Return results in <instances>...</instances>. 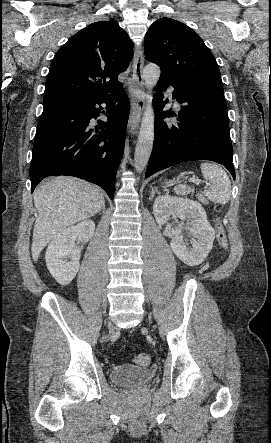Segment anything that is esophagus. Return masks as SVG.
<instances>
[{
  "instance_id": "1",
  "label": "esophagus",
  "mask_w": 271,
  "mask_h": 443,
  "mask_svg": "<svg viewBox=\"0 0 271 443\" xmlns=\"http://www.w3.org/2000/svg\"><path fill=\"white\" fill-rule=\"evenodd\" d=\"M144 55L142 46L138 47L133 60V78L135 87L132 91V105L128 120V130L133 132L139 126L141 115L145 108L144 78H143Z\"/></svg>"
}]
</instances>
